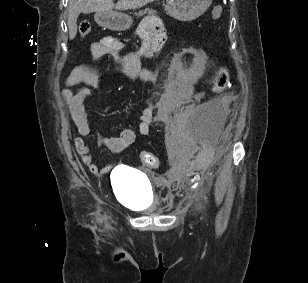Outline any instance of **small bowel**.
Listing matches in <instances>:
<instances>
[{"instance_id": "1", "label": "small bowel", "mask_w": 308, "mask_h": 283, "mask_svg": "<svg viewBox=\"0 0 308 283\" xmlns=\"http://www.w3.org/2000/svg\"><path fill=\"white\" fill-rule=\"evenodd\" d=\"M138 31L142 39V46L137 51L124 52V45L117 39L103 37L91 44V54L96 59L110 56L117 60L121 64L118 74L127 79L155 82L157 79L156 75L144 69L141 62L143 57L152 51V41L155 35L161 34L164 37L163 26L159 19L151 17L145 19L140 24ZM65 85L62 94L67 101L73 126L78 133V136L73 141L74 147L80 155L82 162L92 173L106 174L111 170L112 166L99 167L95 164L84 138L96 134L108 150L113 153H119L135 141L136 134L132 129H124L118 136H101L94 132L89 125L84 103L91 96L92 92L90 89L83 87V85H88L95 89L101 87L102 78L95 69L88 66L74 68L67 76ZM69 87L75 88V92H71ZM187 98V93L184 91H169L162 96L156 108H144L138 117L139 134L147 136L154 117H157L159 120L167 119Z\"/></svg>"}]
</instances>
